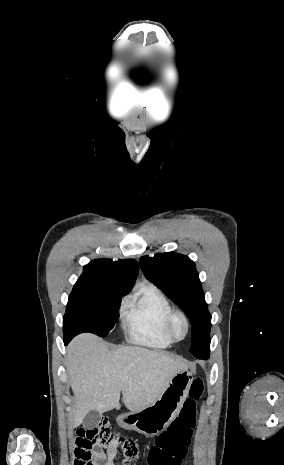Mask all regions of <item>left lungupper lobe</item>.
I'll use <instances>...</instances> for the list:
<instances>
[{
	"label": "left lung upper lobe",
	"instance_id": "1",
	"mask_svg": "<svg viewBox=\"0 0 284 465\" xmlns=\"http://www.w3.org/2000/svg\"><path fill=\"white\" fill-rule=\"evenodd\" d=\"M139 263L145 277L178 304L190 319V352L197 358H208L211 315L195 263L175 252L157 253L153 258L144 256Z\"/></svg>",
	"mask_w": 284,
	"mask_h": 465
}]
</instances>
